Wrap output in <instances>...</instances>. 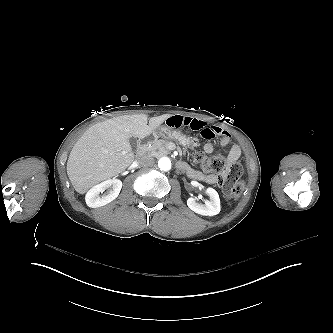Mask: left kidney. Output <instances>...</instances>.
I'll return each instance as SVG.
<instances>
[{
    "label": "left kidney",
    "instance_id": "obj_1",
    "mask_svg": "<svg viewBox=\"0 0 333 333\" xmlns=\"http://www.w3.org/2000/svg\"><path fill=\"white\" fill-rule=\"evenodd\" d=\"M204 193L210 197L204 204L197 203L194 198L187 200V206L195 213L204 216H215L220 212V200L217 191L211 187L204 190Z\"/></svg>",
    "mask_w": 333,
    "mask_h": 333
}]
</instances>
